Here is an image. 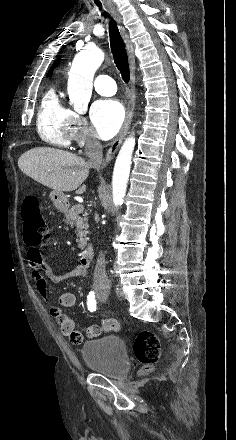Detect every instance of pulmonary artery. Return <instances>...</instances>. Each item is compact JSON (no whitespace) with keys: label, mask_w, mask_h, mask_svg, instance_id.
Instances as JSON below:
<instances>
[{"label":"pulmonary artery","mask_w":236,"mask_h":440,"mask_svg":"<svg viewBox=\"0 0 236 440\" xmlns=\"http://www.w3.org/2000/svg\"><path fill=\"white\" fill-rule=\"evenodd\" d=\"M95 91L104 96H111L116 92L115 81L108 75L101 74L95 78Z\"/></svg>","instance_id":"e3ab8cb5"}]
</instances>
